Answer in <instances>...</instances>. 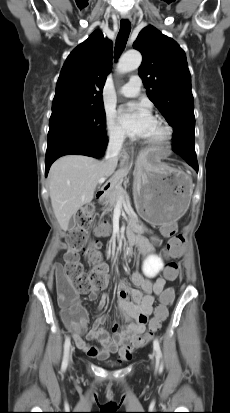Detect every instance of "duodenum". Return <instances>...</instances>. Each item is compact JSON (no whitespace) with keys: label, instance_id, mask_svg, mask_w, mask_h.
I'll return each mask as SVG.
<instances>
[{"label":"duodenum","instance_id":"duodenum-1","mask_svg":"<svg viewBox=\"0 0 230 413\" xmlns=\"http://www.w3.org/2000/svg\"><path fill=\"white\" fill-rule=\"evenodd\" d=\"M107 192H108V187L107 186L102 187L100 190H98L96 194L97 199H102L106 195ZM136 236L137 234L135 230L130 229L127 233V242L129 244H135Z\"/></svg>","mask_w":230,"mask_h":413}]
</instances>
